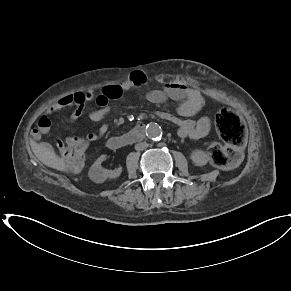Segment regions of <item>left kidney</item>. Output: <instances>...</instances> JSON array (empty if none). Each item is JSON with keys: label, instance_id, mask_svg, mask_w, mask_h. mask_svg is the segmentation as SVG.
Returning <instances> with one entry per match:
<instances>
[{"label": "left kidney", "instance_id": "left-kidney-1", "mask_svg": "<svg viewBox=\"0 0 291 291\" xmlns=\"http://www.w3.org/2000/svg\"><path fill=\"white\" fill-rule=\"evenodd\" d=\"M190 158L196 166H204L208 162V155L201 150L193 151Z\"/></svg>", "mask_w": 291, "mask_h": 291}]
</instances>
